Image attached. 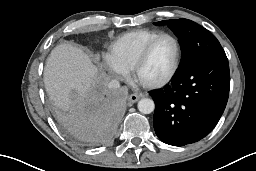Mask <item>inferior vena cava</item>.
<instances>
[{"label":"inferior vena cava","instance_id":"602c4592","mask_svg":"<svg viewBox=\"0 0 256 171\" xmlns=\"http://www.w3.org/2000/svg\"><path fill=\"white\" fill-rule=\"evenodd\" d=\"M108 87L110 88V89H117V88H119L120 87V83H119V81L118 80H111L109 83H108Z\"/></svg>","mask_w":256,"mask_h":171}]
</instances>
